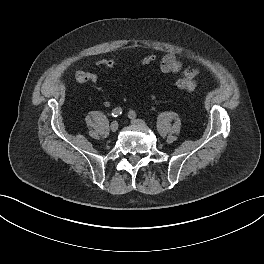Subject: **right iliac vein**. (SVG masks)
<instances>
[{
  "label": "right iliac vein",
  "mask_w": 264,
  "mask_h": 264,
  "mask_svg": "<svg viewBox=\"0 0 264 264\" xmlns=\"http://www.w3.org/2000/svg\"><path fill=\"white\" fill-rule=\"evenodd\" d=\"M118 127H119V125H118V122L117 121H113L111 123V125H110V129H111L112 132L117 131Z\"/></svg>",
  "instance_id": "obj_1"
}]
</instances>
